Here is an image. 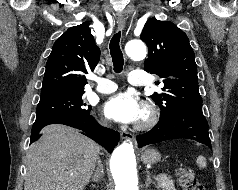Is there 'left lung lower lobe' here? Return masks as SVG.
Wrapping results in <instances>:
<instances>
[{"instance_id":"left-lung-lower-lobe-1","label":"left lung lower lobe","mask_w":238,"mask_h":190,"mask_svg":"<svg viewBox=\"0 0 238 190\" xmlns=\"http://www.w3.org/2000/svg\"><path fill=\"white\" fill-rule=\"evenodd\" d=\"M187 138L211 146L207 120L202 108L185 107L172 110L161 116L155 127L137 136L138 147L159 143L165 140Z\"/></svg>"}]
</instances>
